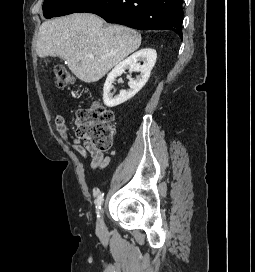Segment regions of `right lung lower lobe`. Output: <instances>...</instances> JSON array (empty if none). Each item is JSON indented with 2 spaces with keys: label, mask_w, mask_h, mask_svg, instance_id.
<instances>
[{
  "label": "right lung lower lobe",
  "mask_w": 255,
  "mask_h": 272,
  "mask_svg": "<svg viewBox=\"0 0 255 272\" xmlns=\"http://www.w3.org/2000/svg\"><path fill=\"white\" fill-rule=\"evenodd\" d=\"M183 0H90L76 12L140 30H172L182 39Z\"/></svg>",
  "instance_id": "right-lung-lower-lobe-1"
}]
</instances>
